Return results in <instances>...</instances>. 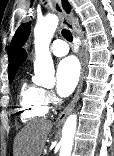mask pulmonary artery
Returning a JSON list of instances; mask_svg holds the SVG:
<instances>
[{"label":"pulmonary artery","mask_w":114,"mask_h":156,"mask_svg":"<svg viewBox=\"0 0 114 156\" xmlns=\"http://www.w3.org/2000/svg\"><path fill=\"white\" fill-rule=\"evenodd\" d=\"M69 52V46L61 39L55 40L51 45V53L57 57L65 56Z\"/></svg>","instance_id":"e3ab8cb5"}]
</instances>
